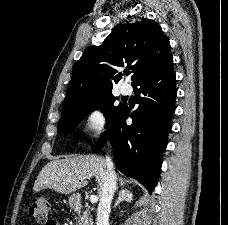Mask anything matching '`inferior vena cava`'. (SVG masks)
<instances>
[{"instance_id":"602c4592","label":"inferior vena cava","mask_w":228,"mask_h":225,"mask_svg":"<svg viewBox=\"0 0 228 225\" xmlns=\"http://www.w3.org/2000/svg\"><path fill=\"white\" fill-rule=\"evenodd\" d=\"M107 171L101 185L102 195L97 209L96 225H109V215L114 193L117 191L116 175L110 157H106Z\"/></svg>"}]
</instances>
